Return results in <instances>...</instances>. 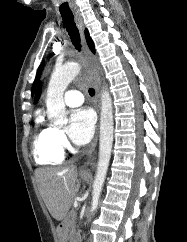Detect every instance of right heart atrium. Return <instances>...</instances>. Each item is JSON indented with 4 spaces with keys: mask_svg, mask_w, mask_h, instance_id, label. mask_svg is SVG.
<instances>
[{
    "mask_svg": "<svg viewBox=\"0 0 187 242\" xmlns=\"http://www.w3.org/2000/svg\"><path fill=\"white\" fill-rule=\"evenodd\" d=\"M54 140H55V143L62 149L69 147V142L62 129H58V128L55 129Z\"/></svg>",
    "mask_w": 187,
    "mask_h": 242,
    "instance_id": "obj_1",
    "label": "right heart atrium"
}]
</instances>
